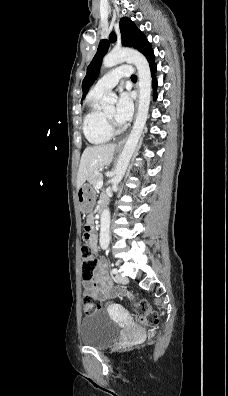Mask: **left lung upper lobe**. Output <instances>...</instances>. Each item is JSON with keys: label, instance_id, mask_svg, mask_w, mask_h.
<instances>
[{"label": "left lung upper lobe", "instance_id": "1", "mask_svg": "<svg viewBox=\"0 0 228 396\" xmlns=\"http://www.w3.org/2000/svg\"><path fill=\"white\" fill-rule=\"evenodd\" d=\"M120 33L122 38V45L127 47H133L144 54L148 46L150 45L144 34L137 29L135 24L127 17H123L120 20ZM116 35L114 32L110 34V41L114 42ZM109 48L108 40H101L97 49V52L87 67V73L82 82V99L86 96L89 87L93 84L100 72V66L102 58L107 53Z\"/></svg>", "mask_w": 228, "mask_h": 396}]
</instances>
